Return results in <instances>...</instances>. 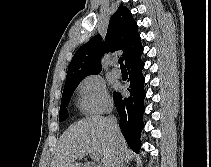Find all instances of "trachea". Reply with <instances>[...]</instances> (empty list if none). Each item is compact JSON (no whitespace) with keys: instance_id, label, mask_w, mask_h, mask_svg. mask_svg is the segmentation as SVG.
Listing matches in <instances>:
<instances>
[{"instance_id":"1","label":"trachea","mask_w":211,"mask_h":167,"mask_svg":"<svg viewBox=\"0 0 211 167\" xmlns=\"http://www.w3.org/2000/svg\"><path fill=\"white\" fill-rule=\"evenodd\" d=\"M118 62L120 64L121 69H126L125 65L123 64V58L122 57L119 58Z\"/></svg>"}]
</instances>
